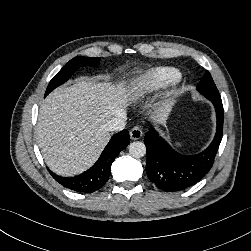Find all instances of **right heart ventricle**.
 Listing matches in <instances>:
<instances>
[{"mask_svg":"<svg viewBox=\"0 0 251 251\" xmlns=\"http://www.w3.org/2000/svg\"><path fill=\"white\" fill-rule=\"evenodd\" d=\"M181 78L180 72L173 67H157L132 80L127 95L132 101H139L150 94L176 84Z\"/></svg>","mask_w":251,"mask_h":251,"instance_id":"1","label":"right heart ventricle"}]
</instances>
